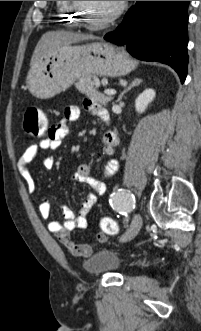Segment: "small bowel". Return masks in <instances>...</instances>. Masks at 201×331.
I'll list each match as a JSON object with an SVG mask.
<instances>
[{"label":"small bowel","instance_id":"small-bowel-1","mask_svg":"<svg viewBox=\"0 0 201 331\" xmlns=\"http://www.w3.org/2000/svg\"><path fill=\"white\" fill-rule=\"evenodd\" d=\"M84 108L95 116L99 117L104 122H108V112L95 100L86 99L84 101ZM80 116V108L75 105L67 106L64 110L63 116L60 120L52 124L46 136L37 144H33L26 148L17 160V167L22 177L26 181L28 189L31 193L35 191V183L29 173V164L37 157L40 150L53 151L58 149L69 131V123L76 121ZM103 146L108 157L105 165V175L111 176L118 169V161L114 158V149L118 144L117 134L111 130L106 129L103 133ZM45 165L52 166L54 163L53 157L47 156L43 158ZM72 179L77 182L84 183L93 189L97 194L102 195L106 191L105 184L92 176L91 167L88 164H81L78 166ZM96 194L94 192L88 193L80 203L77 213L71 208L62 205L61 212L64 218L63 222L50 220L51 204L47 200H43L39 206L38 211L41 217L49 220L48 229L52 232L73 255L78 257H87L92 251L90 244H78L71 238V232L76 229H85L87 227V215L96 202Z\"/></svg>","mask_w":201,"mask_h":331}]
</instances>
